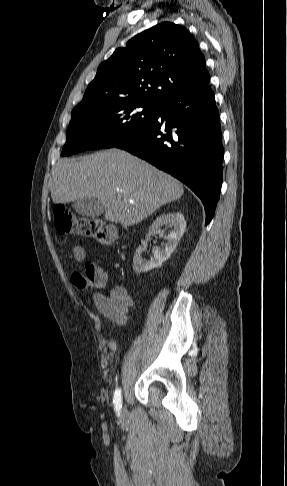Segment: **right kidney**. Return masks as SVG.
Wrapping results in <instances>:
<instances>
[{"label":"right kidney","mask_w":287,"mask_h":486,"mask_svg":"<svg viewBox=\"0 0 287 486\" xmlns=\"http://www.w3.org/2000/svg\"><path fill=\"white\" fill-rule=\"evenodd\" d=\"M164 225L173 227V230L166 237L167 242L164 247L154 250L153 257H151L149 261H146L141 256V254L146 249L145 243L143 244V246H139L136 249L133 257V269L136 273L148 272L154 268L161 266L162 263L166 261L171 256L172 252L176 249L178 241L183 236L186 228L184 215L180 212L167 213L157 217L150 226L149 232L146 235L145 240L148 241L151 235L161 233V227Z\"/></svg>","instance_id":"right-kidney-1"}]
</instances>
